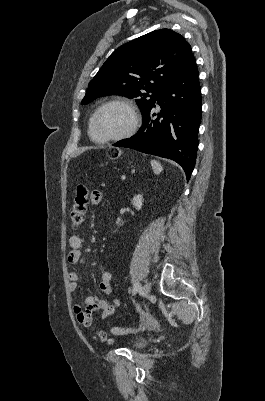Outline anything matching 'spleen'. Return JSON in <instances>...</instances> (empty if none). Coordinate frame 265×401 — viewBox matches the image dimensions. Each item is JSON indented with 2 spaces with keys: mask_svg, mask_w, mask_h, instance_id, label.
Returning <instances> with one entry per match:
<instances>
[{
  "mask_svg": "<svg viewBox=\"0 0 265 401\" xmlns=\"http://www.w3.org/2000/svg\"><path fill=\"white\" fill-rule=\"evenodd\" d=\"M151 166L155 174H160V172L163 170V166L160 164V162H158V160H151Z\"/></svg>",
  "mask_w": 265,
  "mask_h": 401,
  "instance_id": "3e777b00",
  "label": "spleen"
}]
</instances>
